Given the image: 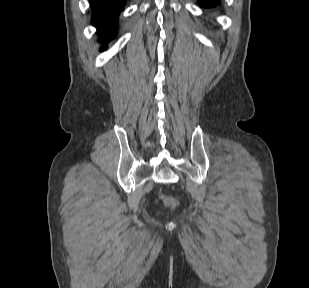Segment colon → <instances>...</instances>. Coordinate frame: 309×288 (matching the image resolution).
<instances>
[{
  "label": "colon",
  "instance_id": "obj_1",
  "mask_svg": "<svg viewBox=\"0 0 309 288\" xmlns=\"http://www.w3.org/2000/svg\"><path fill=\"white\" fill-rule=\"evenodd\" d=\"M162 199L165 202V204H167V205H174V203H175L174 199L171 198V197L163 196Z\"/></svg>",
  "mask_w": 309,
  "mask_h": 288
}]
</instances>
